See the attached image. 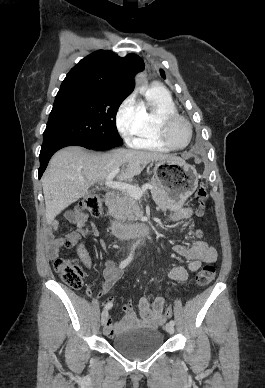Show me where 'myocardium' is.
<instances>
[{
  "label": "myocardium",
  "instance_id": "1",
  "mask_svg": "<svg viewBox=\"0 0 265 388\" xmlns=\"http://www.w3.org/2000/svg\"><path fill=\"white\" fill-rule=\"evenodd\" d=\"M158 90H160V89L152 88V89H150L149 91H158ZM161 91H165V90H161ZM173 120H179V121H181V122L185 125V127H186V129H187V131H188V141H187L183 146H176V145H174V144L170 141V139H169V137H168V126H169V124L171 123V121H173ZM158 130H159L160 138H161V139L163 140V142H164L166 145H168L170 148H175V149L184 148V147H186V146L189 144L190 139H191V133H192V131H191L190 123L188 122V120H187L185 117L179 115V114L176 113V112H167V113H164V114L161 116L160 120H159Z\"/></svg>",
  "mask_w": 265,
  "mask_h": 388
}]
</instances>
